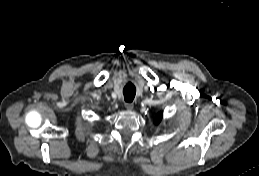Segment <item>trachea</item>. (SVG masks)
<instances>
[{"label":"trachea","instance_id":"3493384b","mask_svg":"<svg viewBox=\"0 0 259 176\" xmlns=\"http://www.w3.org/2000/svg\"><path fill=\"white\" fill-rule=\"evenodd\" d=\"M123 94H124V100L128 103H131L135 97L136 94V88L132 83H128L124 89H123Z\"/></svg>","mask_w":259,"mask_h":176}]
</instances>
